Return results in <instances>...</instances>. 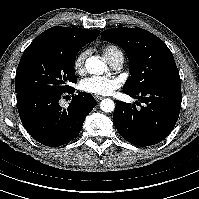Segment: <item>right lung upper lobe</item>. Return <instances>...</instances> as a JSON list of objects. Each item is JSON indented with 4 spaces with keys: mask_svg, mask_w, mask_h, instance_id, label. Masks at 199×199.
I'll list each match as a JSON object with an SVG mask.
<instances>
[{
    "mask_svg": "<svg viewBox=\"0 0 199 199\" xmlns=\"http://www.w3.org/2000/svg\"><path fill=\"white\" fill-rule=\"evenodd\" d=\"M99 33V30L55 26L41 33L33 42L48 43L70 50L94 41Z\"/></svg>",
    "mask_w": 199,
    "mask_h": 199,
    "instance_id": "obj_1",
    "label": "right lung upper lobe"
}]
</instances>
